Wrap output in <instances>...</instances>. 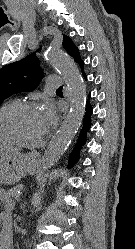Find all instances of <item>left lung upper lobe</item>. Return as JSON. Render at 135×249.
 Segmentation results:
<instances>
[{
  "mask_svg": "<svg viewBox=\"0 0 135 249\" xmlns=\"http://www.w3.org/2000/svg\"><path fill=\"white\" fill-rule=\"evenodd\" d=\"M63 47L81 67L84 62L80 58L79 50L73 41L63 35ZM44 73L39 66L35 53L24 59L8 64L0 69V104L11 95L29 91L39 85Z\"/></svg>",
  "mask_w": 135,
  "mask_h": 249,
  "instance_id": "5c2ea615",
  "label": "left lung upper lobe"
}]
</instances>
